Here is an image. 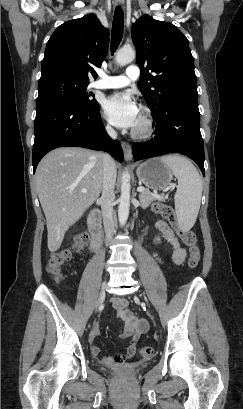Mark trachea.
Returning a JSON list of instances; mask_svg holds the SVG:
<instances>
[{"instance_id": "trachea-1", "label": "trachea", "mask_w": 243, "mask_h": 409, "mask_svg": "<svg viewBox=\"0 0 243 409\" xmlns=\"http://www.w3.org/2000/svg\"><path fill=\"white\" fill-rule=\"evenodd\" d=\"M124 30V15L123 10L120 6L116 7L113 24H112V33H111V52L114 53L118 48Z\"/></svg>"}]
</instances>
